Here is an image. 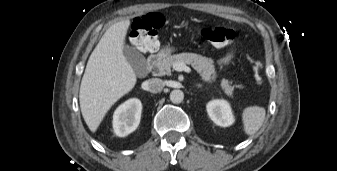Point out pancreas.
<instances>
[{"label":"pancreas","instance_id":"pancreas-1","mask_svg":"<svg viewBox=\"0 0 337 171\" xmlns=\"http://www.w3.org/2000/svg\"><path fill=\"white\" fill-rule=\"evenodd\" d=\"M176 62H183L192 65L193 68L200 74L203 81L212 83L216 79V70L213 60L203 57L195 53H180L163 57L156 63V72L159 76L171 75V67ZM232 81L222 79L221 88L224 93L232 97L234 87L231 86Z\"/></svg>","mask_w":337,"mask_h":171}]
</instances>
